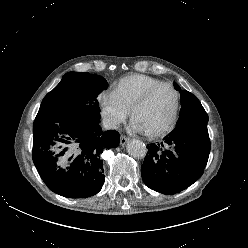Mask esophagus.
<instances>
[{
  "label": "esophagus",
  "instance_id": "obj_1",
  "mask_svg": "<svg viewBox=\"0 0 248 248\" xmlns=\"http://www.w3.org/2000/svg\"><path fill=\"white\" fill-rule=\"evenodd\" d=\"M129 141V138L125 135L120 136V145L124 146Z\"/></svg>",
  "mask_w": 248,
  "mask_h": 248
}]
</instances>
